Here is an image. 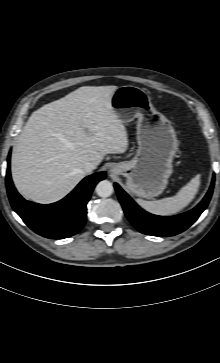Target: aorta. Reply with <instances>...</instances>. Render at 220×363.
Wrapping results in <instances>:
<instances>
[{
  "label": "aorta",
  "mask_w": 220,
  "mask_h": 363,
  "mask_svg": "<svg viewBox=\"0 0 220 363\" xmlns=\"http://www.w3.org/2000/svg\"><path fill=\"white\" fill-rule=\"evenodd\" d=\"M96 193L102 198H106L112 195L114 188L110 181L102 180L96 186Z\"/></svg>",
  "instance_id": "762f6f07"
}]
</instances>
